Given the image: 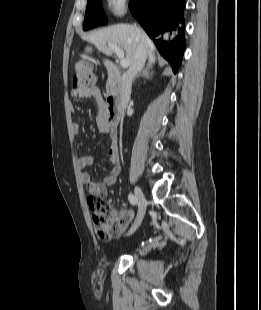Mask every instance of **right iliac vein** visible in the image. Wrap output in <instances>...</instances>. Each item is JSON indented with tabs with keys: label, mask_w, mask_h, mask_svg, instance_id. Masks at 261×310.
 I'll list each match as a JSON object with an SVG mask.
<instances>
[{
	"label": "right iliac vein",
	"mask_w": 261,
	"mask_h": 310,
	"mask_svg": "<svg viewBox=\"0 0 261 310\" xmlns=\"http://www.w3.org/2000/svg\"><path fill=\"white\" fill-rule=\"evenodd\" d=\"M134 192H135V198H136V201L138 204V214H137L136 220H135L133 226L131 227L128 235L133 234L138 229V227L140 226V224L144 218L146 207H147V203H146L144 193L142 192L140 187L136 186L134 189Z\"/></svg>",
	"instance_id": "1"
}]
</instances>
